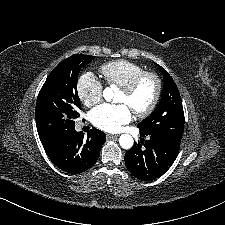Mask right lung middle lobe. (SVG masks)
Returning <instances> with one entry per match:
<instances>
[{"mask_svg":"<svg viewBox=\"0 0 225 225\" xmlns=\"http://www.w3.org/2000/svg\"><path fill=\"white\" fill-rule=\"evenodd\" d=\"M94 56L74 54L60 62L49 74L36 102V127L41 142L65 134L80 117L77 80L81 68Z\"/></svg>","mask_w":225,"mask_h":225,"instance_id":"right-lung-middle-lobe-1","label":"right lung middle lobe"}]
</instances>
